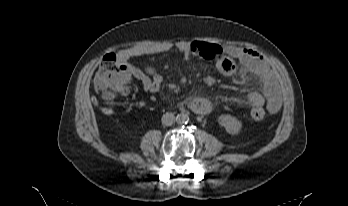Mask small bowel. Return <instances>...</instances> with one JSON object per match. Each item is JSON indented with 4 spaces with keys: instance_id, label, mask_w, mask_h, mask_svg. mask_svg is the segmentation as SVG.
Listing matches in <instances>:
<instances>
[{
    "instance_id": "c3829d8e",
    "label": "small bowel",
    "mask_w": 348,
    "mask_h": 206,
    "mask_svg": "<svg viewBox=\"0 0 348 206\" xmlns=\"http://www.w3.org/2000/svg\"><path fill=\"white\" fill-rule=\"evenodd\" d=\"M171 50H177L185 59L197 56L205 60L213 61L217 69L224 75H231L236 70L235 61L242 68L257 77L263 94L257 91L249 92L243 102L251 106L266 105L270 113H276L281 106V92L277 79L263 58L256 52L238 47H223L221 45L205 41H179L175 44L160 43L138 49H128L119 53V58L128 65L132 76L138 80L143 90L148 94L158 92L162 85V76L158 73H147L140 68L128 64L132 57L141 55H152ZM200 99H194V102Z\"/></svg>"
}]
</instances>
